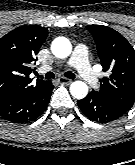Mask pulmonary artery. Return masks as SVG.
Returning a JSON list of instances; mask_svg holds the SVG:
<instances>
[{
    "instance_id": "pulmonary-artery-1",
    "label": "pulmonary artery",
    "mask_w": 135,
    "mask_h": 165,
    "mask_svg": "<svg viewBox=\"0 0 135 165\" xmlns=\"http://www.w3.org/2000/svg\"><path fill=\"white\" fill-rule=\"evenodd\" d=\"M66 66H72L76 68L82 77V79L91 87H95L98 84V80L93 72L89 61L87 48L83 44H78L69 60L66 62Z\"/></svg>"
}]
</instances>
